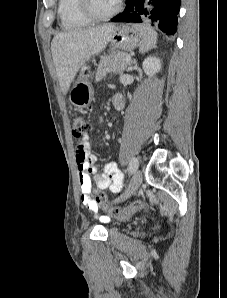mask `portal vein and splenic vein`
I'll use <instances>...</instances> for the list:
<instances>
[{"label":"portal vein and splenic vein","mask_w":227,"mask_h":298,"mask_svg":"<svg viewBox=\"0 0 227 298\" xmlns=\"http://www.w3.org/2000/svg\"><path fill=\"white\" fill-rule=\"evenodd\" d=\"M124 60L127 61V62H130L131 61V56H129V55L126 56Z\"/></svg>","instance_id":"portal-vein-and-splenic-vein-1"}]
</instances>
